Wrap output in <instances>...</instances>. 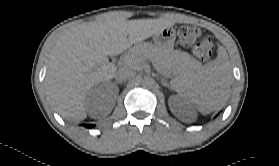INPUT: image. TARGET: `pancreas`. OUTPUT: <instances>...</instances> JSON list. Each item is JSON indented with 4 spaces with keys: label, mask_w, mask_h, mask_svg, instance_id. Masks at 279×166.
<instances>
[{
    "label": "pancreas",
    "mask_w": 279,
    "mask_h": 166,
    "mask_svg": "<svg viewBox=\"0 0 279 166\" xmlns=\"http://www.w3.org/2000/svg\"><path fill=\"white\" fill-rule=\"evenodd\" d=\"M151 60L158 70L165 74H182L196 70L200 62L186 52L161 49L150 43L135 45L123 59L124 67L138 70L145 60Z\"/></svg>",
    "instance_id": "pancreas-1"
}]
</instances>
